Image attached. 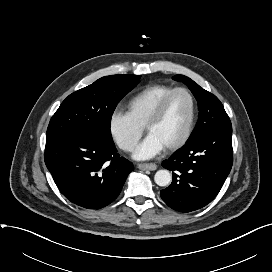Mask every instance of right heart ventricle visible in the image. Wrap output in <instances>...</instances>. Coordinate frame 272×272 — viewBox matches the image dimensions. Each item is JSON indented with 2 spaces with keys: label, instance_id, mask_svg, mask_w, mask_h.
I'll use <instances>...</instances> for the list:
<instances>
[{
  "label": "right heart ventricle",
  "instance_id": "1",
  "mask_svg": "<svg viewBox=\"0 0 272 272\" xmlns=\"http://www.w3.org/2000/svg\"><path fill=\"white\" fill-rule=\"evenodd\" d=\"M176 87L166 84H154L136 93L127 102V113L141 127H145L150 115L169 92Z\"/></svg>",
  "mask_w": 272,
  "mask_h": 272
}]
</instances>
